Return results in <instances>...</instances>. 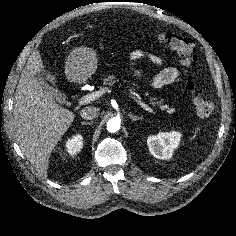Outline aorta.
Returning <instances> with one entry per match:
<instances>
[{"instance_id":"1","label":"aorta","mask_w":236,"mask_h":236,"mask_svg":"<svg viewBox=\"0 0 236 236\" xmlns=\"http://www.w3.org/2000/svg\"><path fill=\"white\" fill-rule=\"evenodd\" d=\"M120 129V121L112 118L107 122V130L111 133L117 132Z\"/></svg>"}]
</instances>
